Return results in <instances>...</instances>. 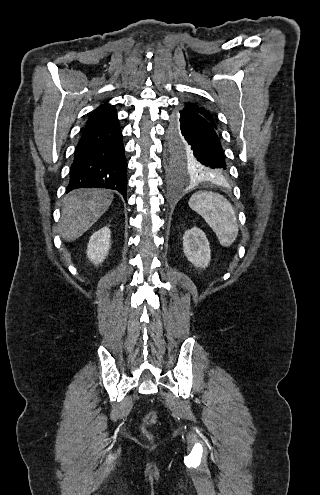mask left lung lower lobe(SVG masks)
I'll return each mask as SVG.
<instances>
[{"label": "left lung lower lobe", "mask_w": 320, "mask_h": 495, "mask_svg": "<svg viewBox=\"0 0 320 495\" xmlns=\"http://www.w3.org/2000/svg\"><path fill=\"white\" fill-rule=\"evenodd\" d=\"M177 115L183 136L199 150V157L209 169L211 178L225 176L228 173V165L216 125L205 117H199L188 110L182 109L177 112ZM174 120L173 114L169 132Z\"/></svg>", "instance_id": "left-lung-lower-lobe-1"}]
</instances>
